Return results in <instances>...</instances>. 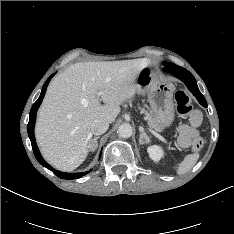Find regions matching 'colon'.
<instances>
[{"label":"colon","instance_id":"5ec220e1","mask_svg":"<svg viewBox=\"0 0 234 234\" xmlns=\"http://www.w3.org/2000/svg\"><path fill=\"white\" fill-rule=\"evenodd\" d=\"M175 103L178 114L181 117H191L193 115V109L191 106L190 98L185 91L179 90L175 93ZM204 147V140L197 138L192 144V151L199 153Z\"/></svg>","mask_w":234,"mask_h":234}]
</instances>
